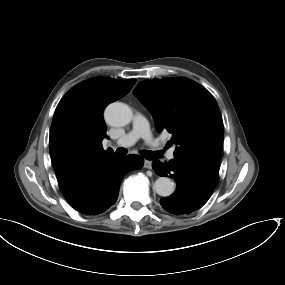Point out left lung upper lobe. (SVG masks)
<instances>
[{
	"mask_svg": "<svg viewBox=\"0 0 285 285\" xmlns=\"http://www.w3.org/2000/svg\"><path fill=\"white\" fill-rule=\"evenodd\" d=\"M152 114L159 132L172 134L175 158L219 167L223 121L214 97L200 84L183 77L148 79L133 90Z\"/></svg>",
	"mask_w": 285,
	"mask_h": 285,
	"instance_id": "left-lung-upper-lobe-1",
	"label": "left lung upper lobe"
}]
</instances>
